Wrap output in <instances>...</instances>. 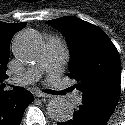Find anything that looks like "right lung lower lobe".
Wrapping results in <instances>:
<instances>
[{
	"label": "right lung lower lobe",
	"instance_id": "98d812e1",
	"mask_svg": "<svg viewBox=\"0 0 125 125\" xmlns=\"http://www.w3.org/2000/svg\"><path fill=\"white\" fill-rule=\"evenodd\" d=\"M34 100L29 91L6 92L0 96V125H20L26 107Z\"/></svg>",
	"mask_w": 125,
	"mask_h": 125
}]
</instances>
